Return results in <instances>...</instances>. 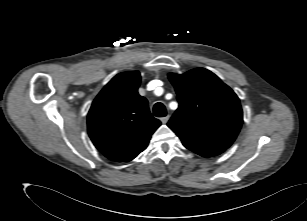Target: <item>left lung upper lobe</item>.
Listing matches in <instances>:
<instances>
[{
  "mask_svg": "<svg viewBox=\"0 0 307 221\" xmlns=\"http://www.w3.org/2000/svg\"><path fill=\"white\" fill-rule=\"evenodd\" d=\"M168 76L179 102L168 126L190 150L224 152L236 139L243 123L237 95L204 68Z\"/></svg>",
  "mask_w": 307,
  "mask_h": 221,
  "instance_id": "1",
  "label": "left lung upper lobe"
}]
</instances>
